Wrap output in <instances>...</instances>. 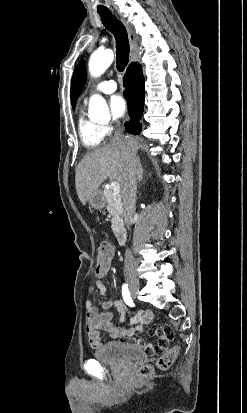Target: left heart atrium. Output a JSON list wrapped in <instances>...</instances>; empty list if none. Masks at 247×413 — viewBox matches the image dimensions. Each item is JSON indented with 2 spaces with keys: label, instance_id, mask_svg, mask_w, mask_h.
I'll list each match as a JSON object with an SVG mask.
<instances>
[{
  "label": "left heart atrium",
  "instance_id": "39dd6f15",
  "mask_svg": "<svg viewBox=\"0 0 247 413\" xmlns=\"http://www.w3.org/2000/svg\"><path fill=\"white\" fill-rule=\"evenodd\" d=\"M109 107L115 118L123 117L127 109L126 101L120 94H115L110 97Z\"/></svg>",
  "mask_w": 247,
  "mask_h": 413
}]
</instances>
